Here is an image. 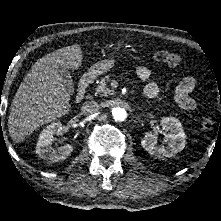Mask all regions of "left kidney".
<instances>
[{"mask_svg":"<svg viewBox=\"0 0 221 221\" xmlns=\"http://www.w3.org/2000/svg\"><path fill=\"white\" fill-rule=\"evenodd\" d=\"M162 129L166 132L169 140L167 146L157 145V135L148 132L141 140L142 147L152 156L157 158L173 157L182 151L186 144V135L181 122L175 117H164L161 120Z\"/></svg>","mask_w":221,"mask_h":221,"instance_id":"obj_1","label":"left kidney"}]
</instances>
